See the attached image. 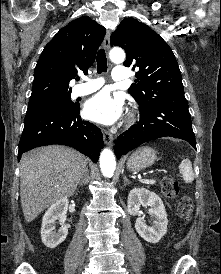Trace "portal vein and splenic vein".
I'll return each mask as SVG.
<instances>
[{"mask_svg": "<svg viewBox=\"0 0 221 274\" xmlns=\"http://www.w3.org/2000/svg\"><path fill=\"white\" fill-rule=\"evenodd\" d=\"M139 180H140L141 182H144V183H147V184H153V183L156 182V181L153 180V179L147 180V179H141V178H139Z\"/></svg>", "mask_w": 221, "mask_h": 274, "instance_id": "1", "label": "portal vein and splenic vein"}]
</instances>
